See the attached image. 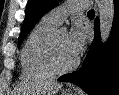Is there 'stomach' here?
<instances>
[{"instance_id":"stomach-1","label":"stomach","mask_w":119,"mask_h":95,"mask_svg":"<svg viewBox=\"0 0 119 95\" xmlns=\"http://www.w3.org/2000/svg\"><path fill=\"white\" fill-rule=\"evenodd\" d=\"M62 95H76V93L72 90H65L62 92Z\"/></svg>"}]
</instances>
